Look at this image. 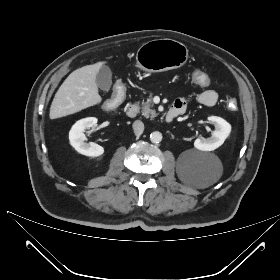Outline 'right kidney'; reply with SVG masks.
Masks as SVG:
<instances>
[{"mask_svg": "<svg viewBox=\"0 0 280 280\" xmlns=\"http://www.w3.org/2000/svg\"><path fill=\"white\" fill-rule=\"evenodd\" d=\"M97 118L88 117L77 121L69 132L70 144L80 154L89 157H99L104 153V148L93 142H86V136L83 133L85 129H89L96 125Z\"/></svg>", "mask_w": 280, "mask_h": 280, "instance_id": "right-kidney-1", "label": "right kidney"}]
</instances>
